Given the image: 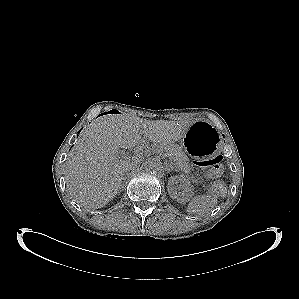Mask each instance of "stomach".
<instances>
[{
    "mask_svg": "<svg viewBox=\"0 0 299 299\" xmlns=\"http://www.w3.org/2000/svg\"><path fill=\"white\" fill-rule=\"evenodd\" d=\"M185 150L196 161H207L217 152L220 135L208 120H197L184 135Z\"/></svg>",
    "mask_w": 299,
    "mask_h": 299,
    "instance_id": "stomach-1",
    "label": "stomach"
}]
</instances>
